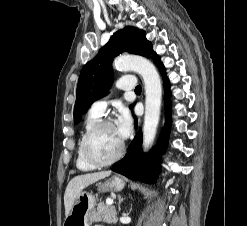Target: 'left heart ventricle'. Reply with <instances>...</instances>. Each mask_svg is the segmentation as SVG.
<instances>
[{
    "mask_svg": "<svg viewBox=\"0 0 247 226\" xmlns=\"http://www.w3.org/2000/svg\"><path fill=\"white\" fill-rule=\"evenodd\" d=\"M122 142L115 126L105 127L92 136L89 151L95 159L105 161L118 153Z\"/></svg>",
    "mask_w": 247,
    "mask_h": 226,
    "instance_id": "1",
    "label": "left heart ventricle"
}]
</instances>
